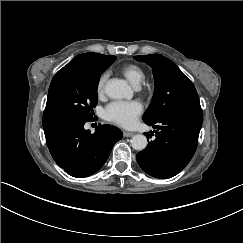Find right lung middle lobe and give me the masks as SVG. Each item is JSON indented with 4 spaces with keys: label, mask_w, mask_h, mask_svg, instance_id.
Wrapping results in <instances>:
<instances>
[{
    "label": "right lung middle lobe",
    "mask_w": 243,
    "mask_h": 243,
    "mask_svg": "<svg viewBox=\"0 0 243 243\" xmlns=\"http://www.w3.org/2000/svg\"><path fill=\"white\" fill-rule=\"evenodd\" d=\"M115 59L116 56H110L98 69H74L55 74L48 91L43 126L69 118L91 120L98 101L100 75Z\"/></svg>",
    "instance_id": "right-lung-middle-lobe-1"
}]
</instances>
